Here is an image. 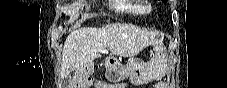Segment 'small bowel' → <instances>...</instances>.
<instances>
[{
  "instance_id": "1",
  "label": "small bowel",
  "mask_w": 227,
  "mask_h": 88,
  "mask_svg": "<svg viewBox=\"0 0 227 88\" xmlns=\"http://www.w3.org/2000/svg\"><path fill=\"white\" fill-rule=\"evenodd\" d=\"M96 87H98V88H124L125 84L118 83L116 85H109V84L103 83V84H100L99 86H96Z\"/></svg>"
}]
</instances>
